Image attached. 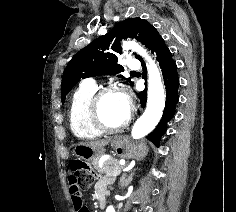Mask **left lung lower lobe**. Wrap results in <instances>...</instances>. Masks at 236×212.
<instances>
[{
	"mask_svg": "<svg viewBox=\"0 0 236 212\" xmlns=\"http://www.w3.org/2000/svg\"><path fill=\"white\" fill-rule=\"evenodd\" d=\"M147 47L151 50V53L156 55V59L159 61L166 87V102L162 119L156 129L147 136L150 141L158 146L161 136L167 129V123L172 119L175 113V107L178 102L179 77L177 73V65L172 59L171 52L155 27L149 34ZM140 60L145 70V64L142 59ZM139 97L142 107H145L146 89L139 93Z\"/></svg>",
	"mask_w": 236,
	"mask_h": 212,
	"instance_id": "obj_1",
	"label": "left lung lower lobe"
}]
</instances>
